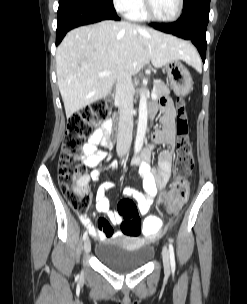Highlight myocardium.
<instances>
[{
  "label": "myocardium",
  "instance_id": "obj_1",
  "mask_svg": "<svg viewBox=\"0 0 247 304\" xmlns=\"http://www.w3.org/2000/svg\"><path fill=\"white\" fill-rule=\"evenodd\" d=\"M143 8H144L145 15L147 16L148 19L155 21V22H159V23L169 24V23H173V22L177 21L180 18L183 8H184V0H178V8H177L176 13L168 19L159 18L153 13L149 0H143Z\"/></svg>",
  "mask_w": 247,
  "mask_h": 304
}]
</instances>
